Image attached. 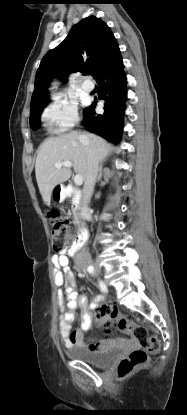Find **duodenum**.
Masks as SVG:
<instances>
[{
    "mask_svg": "<svg viewBox=\"0 0 187 415\" xmlns=\"http://www.w3.org/2000/svg\"><path fill=\"white\" fill-rule=\"evenodd\" d=\"M61 194L71 199L72 208L74 211H76L78 207L79 197H80L79 191L73 186H66L62 189ZM87 236H88V233H87L86 228L81 225L79 239L77 240L76 245L71 250V253L77 251L80 248V245L86 240Z\"/></svg>",
    "mask_w": 187,
    "mask_h": 415,
    "instance_id": "obj_1",
    "label": "duodenum"
}]
</instances>
